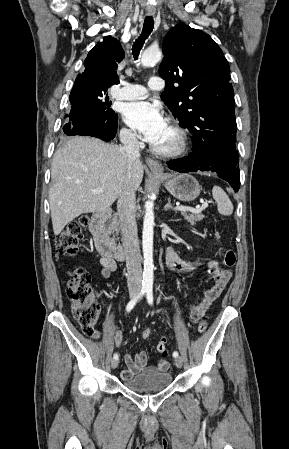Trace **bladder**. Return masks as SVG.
Segmentation results:
<instances>
[{
	"instance_id": "31cf9c89",
	"label": "bladder",
	"mask_w": 289,
	"mask_h": 449,
	"mask_svg": "<svg viewBox=\"0 0 289 449\" xmlns=\"http://www.w3.org/2000/svg\"><path fill=\"white\" fill-rule=\"evenodd\" d=\"M172 382L170 372L140 373L130 379L122 381L125 388L135 391L161 390L167 388Z\"/></svg>"
}]
</instances>
